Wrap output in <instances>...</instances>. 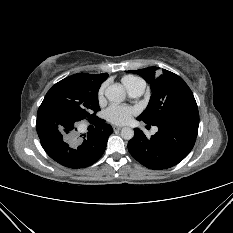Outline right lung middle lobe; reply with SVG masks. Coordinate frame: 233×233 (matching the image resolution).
Here are the masks:
<instances>
[{
    "mask_svg": "<svg viewBox=\"0 0 233 233\" xmlns=\"http://www.w3.org/2000/svg\"><path fill=\"white\" fill-rule=\"evenodd\" d=\"M100 85L78 73L56 83L46 94L37 118L51 116L58 123L73 124L83 119H95L100 110Z\"/></svg>",
    "mask_w": 233,
    "mask_h": 233,
    "instance_id": "right-lung-middle-lobe-1",
    "label": "right lung middle lobe"
}]
</instances>
